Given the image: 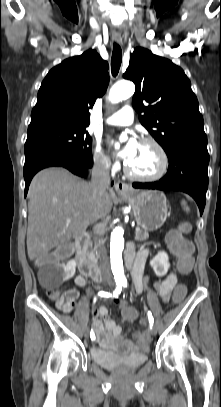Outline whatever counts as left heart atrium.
<instances>
[{"label":"left heart atrium","mask_w":221,"mask_h":407,"mask_svg":"<svg viewBox=\"0 0 221 407\" xmlns=\"http://www.w3.org/2000/svg\"><path fill=\"white\" fill-rule=\"evenodd\" d=\"M137 146L138 142L135 139H130L127 145L118 153V155L128 161L133 156Z\"/></svg>","instance_id":"1"}]
</instances>
